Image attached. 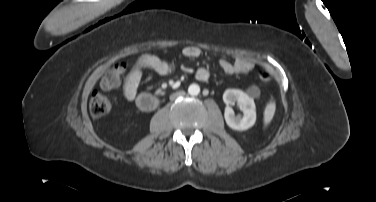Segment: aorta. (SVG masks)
I'll list each match as a JSON object with an SVG mask.
<instances>
[{
  "label": "aorta",
  "mask_w": 376,
  "mask_h": 202,
  "mask_svg": "<svg viewBox=\"0 0 376 202\" xmlns=\"http://www.w3.org/2000/svg\"><path fill=\"white\" fill-rule=\"evenodd\" d=\"M188 93L192 96H196L200 93V87L197 84H191L188 88Z\"/></svg>",
  "instance_id": "1"
}]
</instances>
